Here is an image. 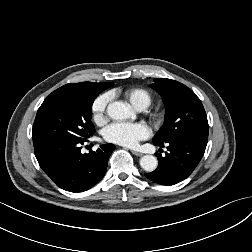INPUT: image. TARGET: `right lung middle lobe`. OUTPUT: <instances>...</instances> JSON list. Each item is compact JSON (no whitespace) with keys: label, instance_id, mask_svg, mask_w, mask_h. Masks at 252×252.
<instances>
[{"label":"right lung middle lobe","instance_id":"1","mask_svg":"<svg viewBox=\"0 0 252 252\" xmlns=\"http://www.w3.org/2000/svg\"><path fill=\"white\" fill-rule=\"evenodd\" d=\"M96 96L62 87L53 91L37 111L32 131L33 141H86L95 133L91 117Z\"/></svg>","mask_w":252,"mask_h":252}]
</instances>
